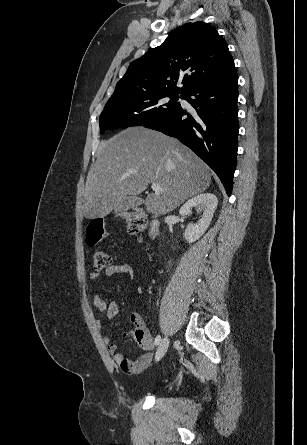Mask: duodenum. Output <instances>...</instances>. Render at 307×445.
Listing matches in <instances>:
<instances>
[{"label":"duodenum","instance_id":"duodenum-1","mask_svg":"<svg viewBox=\"0 0 307 445\" xmlns=\"http://www.w3.org/2000/svg\"><path fill=\"white\" fill-rule=\"evenodd\" d=\"M159 225H160L159 220L157 219L156 216H154L150 222V229H149L150 237L152 238L156 237V235L159 232Z\"/></svg>","mask_w":307,"mask_h":445}]
</instances>
